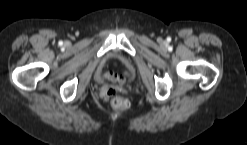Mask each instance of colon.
<instances>
[{"label": "colon", "instance_id": "colon-1", "mask_svg": "<svg viewBox=\"0 0 247 145\" xmlns=\"http://www.w3.org/2000/svg\"><path fill=\"white\" fill-rule=\"evenodd\" d=\"M114 88L110 87L107 91L108 95L114 94ZM111 105L115 109L123 110L127 107V102L121 97H114L111 101Z\"/></svg>", "mask_w": 247, "mask_h": 145}]
</instances>
